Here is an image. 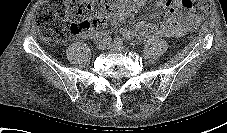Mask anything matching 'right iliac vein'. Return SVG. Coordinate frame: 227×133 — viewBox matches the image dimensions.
Listing matches in <instances>:
<instances>
[{"mask_svg": "<svg viewBox=\"0 0 227 133\" xmlns=\"http://www.w3.org/2000/svg\"><path fill=\"white\" fill-rule=\"evenodd\" d=\"M108 46H109V44L106 43L104 40H99L96 47L98 50H105L108 48Z\"/></svg>", "mask_w": 227, "mask_h": 133, "instance_id": "1", "label": "right iliac vein"}]
</instances>
